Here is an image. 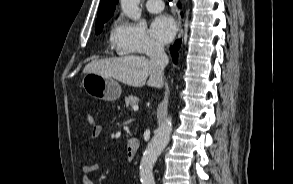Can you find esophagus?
I'll return each instance as SVG.
<instances>
[{
  "mask_svg": "<svg viewBox=\"0 0 293 184\" xmlns=\"http://www.w3.org/2000/svg\"><path fill=\"white\" fill-rule=\"evenodd\" d=\"M182 33H183V28H182V22H181V20H180V29H179V34H178V36L180 37V36L182 35Z\"/></svg>",
  "mask_w": 293,
  "mask_h": 184,
  "instance_id": "34e87169",
  "label": "esophagus"
}]
</instances>
